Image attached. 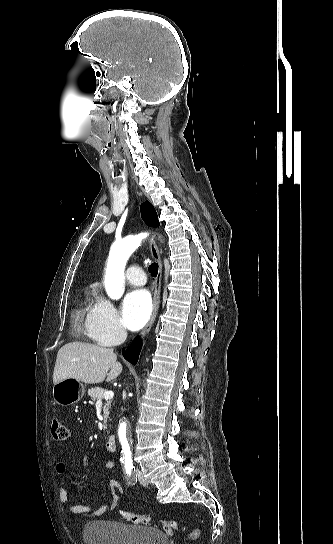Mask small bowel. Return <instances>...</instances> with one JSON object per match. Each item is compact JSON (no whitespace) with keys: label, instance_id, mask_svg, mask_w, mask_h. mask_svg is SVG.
Here are the masks:
<instances>
[{"label":"small bowel","instance_id":"c3829d8e","mask_svg":"<svg viewBox=\"0 0 333 544\" xmlns=\"http://www.w3.org/2000/svg\"><path fill=\"white\" fill-rule=\"evenodd\" d=\"M114 467H115V463L112 460L107 461L104 465V469L106 471L112 470ZM55 468L58 474L60 475L64 474L66 472L65 461L60 460L59 462H57ZM110 487L113 491V497L110 504H106L97 508L73 503V501L68 496L66 489L63 486H61L59 489V497H60V500L67 506L69 513L72 515L89 514L91 516H101L108 509H115L118 505L119 493L121 492V487L116 480L110 481Z\"/></svg>","mask_w":333,"mask_h":544}]
</instances>
